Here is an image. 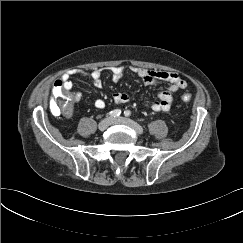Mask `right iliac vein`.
I'll return each instance as SVG.
<instances>
[{
    "label": "right iliac vein",
    "mask_w": 243,
    "mask_h": 243,
    "mask_svg": "<svg viewBox=\"0 0 243 243\" xmlns=\"http://www.w3.org/2000/svg\"><path fill=\"white\" fill-rule=\"evenodd\" d=\"M110 124H111V119L105 118L99 122L98 128H99V130L104 131L109 127Z\"/></svg>",
    "instance_id": "63e3f726"
}]
</instances>
